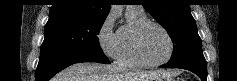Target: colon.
Wrapping results in <instances>:
<instances>
[{"mask_svg": "<svg viewBox=\"0 0 237 81\" xmlns=\"http://www.w3.org/2000/svg\"><path fill=\"white\" fill-rule=\"evenodd\" d=\"M185 81H191L189 78H186Z\"/></svg>", "mask_w": 237, "mask_h": 81, "instance_id": "obj_1", "label": "colon"}]
</instances>
